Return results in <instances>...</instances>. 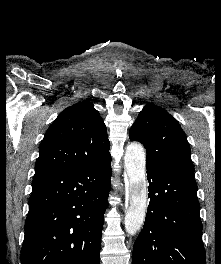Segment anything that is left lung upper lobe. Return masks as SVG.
<instances>
[{
	"instance_id": "left-lung-upper-lobe-1",
	"label": "left lung upper lobe",
	"mask_w": 221,
	"mask_h": 264,
	"mask_svg": "<svg viewBox=\"0 0 221 264\" xmlns=\"http://www.w3.org/2000/svg\"><path fill=\"white\" fill-rule=\"evenodd\" d=\"M129 137L146 148V166L194 178L191 150L185 133L165 109L156 105L145 106L131 127Z\"/></svg>"
}]
</instances>
